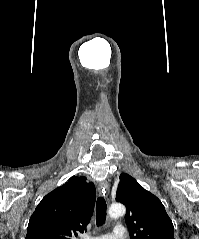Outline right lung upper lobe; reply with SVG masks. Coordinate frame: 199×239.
Wrapping results in <instances>:
<instances>
[{"label": "right lung upper lobe", "mask_w": 199, "mask_h": 239, "mask_svg": "<svg viewBox=\"0 0 199 239\" xmlns=\"http://www.w3.org/2000/svg\"><path fill=\"white\" fill-rule=\"evenodd\" d=\"M86 177L72 176L47 194L36 207L25 239H72L92 216L96 189Z\"/></svg>", "instance_id": "right-lung-upper-lobe-1"}]
</instances>
